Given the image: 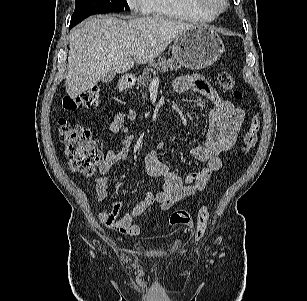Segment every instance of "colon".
<instances>
[{"instance_id": "1", "label": "colon", "mask_w": 307, "mask_h": 301, "mask_svg": "<svg viewBox=\"0 0 307 301\" xmlns=\"http://www.w3.org/2000/svg\"><path fill=\"white\" fill-rule=\"evenodd\" d=\"M218 81L224 90L232 91L236 99L242 98V92L237 89L236 81L229 73H220ZM100 103V90L98 88H91L74 98L64 99L63 107L66 110L94 109ZM260 124L259 115L257 113L253 114L243 138L242 154H247L255 145ZM59 136L64 145L70 169L78 175H92L97 165L102 161L103 155L93 139L91 131L83 126L62 119L59 122ZM210 209L209 204L202 206L197 213L195 222H193L188 211L177 210L171 213L169 222L172 226H190L193 228L195 235L200 236L206 229L210 217Z\"/></svg>"}]
</instances>
